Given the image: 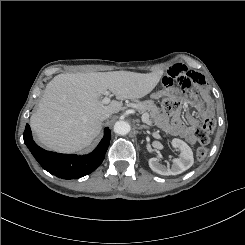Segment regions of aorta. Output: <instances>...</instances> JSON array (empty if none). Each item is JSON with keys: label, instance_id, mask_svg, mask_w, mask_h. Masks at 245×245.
<instances>
[{"label": "aorta", "instance_id": "762f6f07", "mask_svg": "<svg viewBox=\"0 0 245 245\" xmlns=\"http://www.w3.org/2000/svg\"><path fill=\"white\" fill-rule=\"evenodd\" d=\"M130 131V125L126 121H117L114 124V132L119 135H126Z\"/></svg>", "mask_w": 245, "mask_h": 245}]
</instances>
